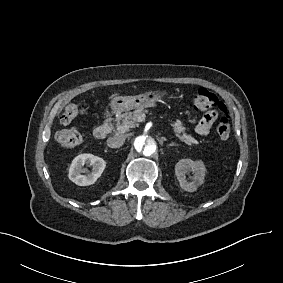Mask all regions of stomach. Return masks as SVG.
Returning a JSON list of instances; mask_svg holds the SVG:
<instances>
[{
  "instance_id": "obj_1",
  "label": "stomach",
  "mask_w": 283,
  "mask_h": 283,
  "mask_svg": "<svg viewBox=\"0 0 283 283\" xmlns=\"http://www.w3.org/2000/svg\"><path fill=\"white\" fill-rule=\"evenodd\" d=\"M171 95L164 90H148L144 94L136 96H117L110 100V110L120 115L123 112H127L133 109L156 107L159 102L168 100Z\"/></svg>"
}]
</instances>
